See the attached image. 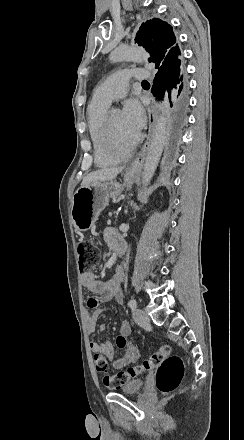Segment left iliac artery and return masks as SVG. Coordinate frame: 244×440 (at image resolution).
<instances>
[{
	"instance_id": "44dca946",
	"label": "left iliac artery",
	"mask_w": 244,
	"mask_h": 440,
	"mask_svg": "<svg viewBox=\"0 0 244 440\" xmlns=\"http://www.w3.org/2000/svg\"><path fill=\"white\" fill-rule=\"evenodd\" d=\"M128 306H129L132 310H134V309L137 307V301H136L135 299H131V300L128 302Z\"/></svg>"
}]
</instances>
